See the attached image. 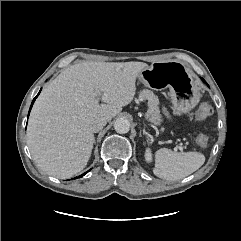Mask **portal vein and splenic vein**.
<instances>
[{"mask_svg":"<svg viewBox=\"0 0 241 241\" xmlns=\"http://www.w3.org/2000/svg\"><path fill=\"white\" fill-rule=\"evenodd\" d=\"M175 150H183V147L182 146H177V147H175Z\"/></svg>","mask_w":241,"mask_h":241,"instance_id":"portal-vein-and-splenic-vein-1","label":"portal vein and splenic vein"}]
</instances>
